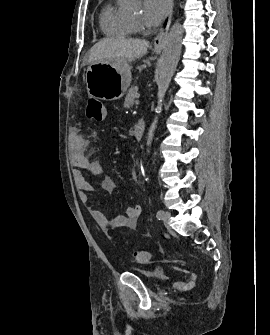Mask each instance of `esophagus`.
<instances>
[{"instance_id":"34e87169","label":"esophagus","mask_w":270,"mask_h":335,"mask_svg":"<svg viewBox=\"0 0 270 335\" xmlns=\"http://www.w3.org/2000/svg\"><path fill=\"white\" fill-rule=\"evenodd\" d=\"M173 6H174V1L173 0H168V9L166 16L163 21V25L161 28V31L158 33L157 37L154 39V48L156 50H159L163 48L165 44V40L168 34V30L171 24V18H172V13H173Z\"/></svg>"}]
</instances>
